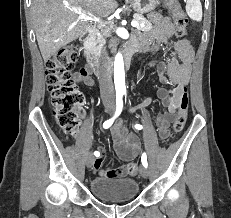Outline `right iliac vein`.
Masks as SVG:
<instances>
[{
    "label": "right iliac vein",
    "mask_w": 231,
    "mask_h": 218,
    "mask_svg": "<svg viewBox=\"0 0 231 218\" xmlns=\"http://www.w3.org/2000/svg\"><path fill=\"white\" fill-rule=\"evenodd\" d=\"M113 110H114V108H113V106H111V105H107V106L105 107V111H106L107 113H109V114H111V113L113 112ZM94 160H95V157H94V155L90 152V153L87 155V158H86V166H87L88 168H90V167L93 165Z\"/></svg>",
    "instance_id": "1"
}]
</instances>
